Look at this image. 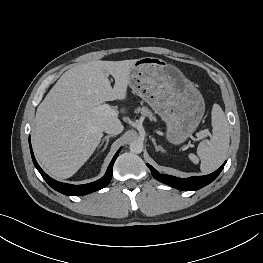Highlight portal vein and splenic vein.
<instances>
[{"label":"portal vein and splenic vein","mask_w":263,"mask_h":263,"mask_svg":"<svg viewBox=\"0 0 263 263\" xmlns=\"http://www.w3.org/2000/svg\"><path fill=\"white\" fill-rule=\"evenodd\" d=\"M93 112L102 114V115H106V116H110V117H115V118H117V115H118L117 111L113 109L109 104L99 105L93 109ZM206 135H209L208 130H204L202 132L196 133V136L199 139H205Z\"/></svg>","instance_id":"portal-vein-and-splenic-vein-1"}]
</instances>
